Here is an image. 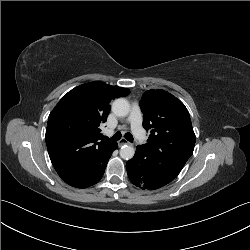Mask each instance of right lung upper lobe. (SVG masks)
I'll return each instance as SVG.
<instances>
[{"mask_svg":"<svg viewBox=\"0 0 250 250\" xmlns=\"http://www.w3.org/2000/svg\"><path fill=\"white\" fill-rule=\"evenodd\" d=\"M129 89L102 81L75 87L58 102L48 118L46 145L58 175L69 185L87 188L98 182L116 143L101 140L110 102Z\"/></svg>","mask_w":250,"mask_h":250,"instance_id":"obj_1","label":"right lung upper lobe"}]
</instances>
